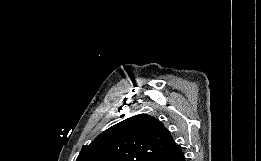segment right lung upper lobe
Returning a JSON list of instances; mask_svg holds the SVG:
<instances>
[{
	"mask_svg": "<svg viewBox=\"0 0 261 161\" xmlns=\"http://www.w3.org/2000/svg\"><path fill=\"white\" fill-rule=\"evenodd\" d=\"M180 149L158 119L139 114L84 145L76 161H157Z\"/></svg>",
	"mask_w": 261,
	"mask_h": 161,
	"instance_id": "cb5924a9",
	"label": "right lung upper lobe"
}]
</instances>
